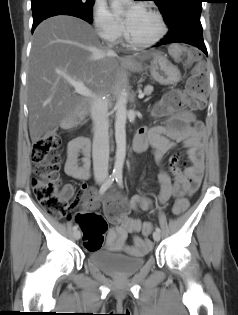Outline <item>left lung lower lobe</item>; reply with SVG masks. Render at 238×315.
Masks as SVG:
<instances>
[{
	"label": "left lung lower lobe",
	"instance_id": "left-lung-lower-lobe-1",
	"mask_svg": "<svg viewBox=\"0 0 238 315\" xmlns=\"http://www.w3.org/2000/svg\"><path fill=\"white\" fill-rule=\"evenodd\" d=\"M200 14L201 13H189L179 18L172 27H169V32L162 41L154 45V47L181 42L196 46L208 55L202 35Z\"/></svg>",
	"mask_w": 238,
	"mask_h": 315
}]
</instances>
